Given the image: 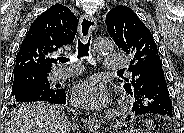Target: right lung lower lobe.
Masks as SVG:
<instances>
[{
	"label": "right lung lower lobe",
	"mask_w": 184,
	"mask_h": 133,
	"mask_svg": "<svg viewBox=\"0 0 184 133\" xmlns=\"http://www.w3.org/2000/svg\"><path fill=\"white\" fill-rule=\"evenodd\" d=\"M35 101H46L51 104H66V93L65 89H59L51 94H39L34 91H22L15 93L11 97L13 104H22Z\"/></svg>",
	"instance_id": "98d812e1"
}]
</instances>
